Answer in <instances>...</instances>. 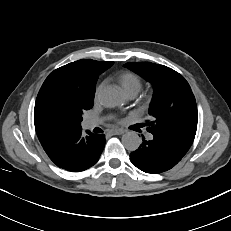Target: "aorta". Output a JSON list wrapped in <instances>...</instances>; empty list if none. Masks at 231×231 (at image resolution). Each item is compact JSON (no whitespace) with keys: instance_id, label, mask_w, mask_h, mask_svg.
<instances>
[{"instance_id":"762f6f07","label":"aorta","mask_w":231,"mask_h":231,"mask_svg":"<svg viewBox=\"0 0 231 231\" xmlns=\"http://www.w3.org/2000/svg\"><path fill=\"white\" fill-rule=\"evenodd\" d=\"M99 100L105 107H116L123 104L120 91L112 86L104 87L98 94ZM122 143L127 150L135 151L141 144V139L136 132L130 131L122 136Z\"/></svg>"}]
</instances>
